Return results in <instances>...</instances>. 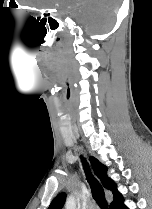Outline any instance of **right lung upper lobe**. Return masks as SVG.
Masks as SVG:
<instances>
[{"label": "right lung upper lobe", "mask_w": 152, "mask_h": 209, "mask_svg": "<svg viewBox=\"0 0 152 209\" xmlns=\"http://www.w3.org/2000/svg\"><path fill=\"white\" fill-rule=\"evenodd\" d=\"M90 162L92 164L93 169L96 172V175L100 179L102 185L106 188L112 191L114 194L117 191V186L113 182L112 179L107 177V167L103 164H101L96 158L90 157ZM66 199L65 193H60L57 195L53 201L51 202L48 209H61L64 205Z\"/></svg>", "instance_id": "cb5924a9"}]
</instances>
